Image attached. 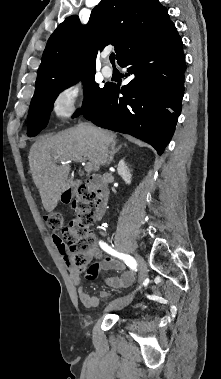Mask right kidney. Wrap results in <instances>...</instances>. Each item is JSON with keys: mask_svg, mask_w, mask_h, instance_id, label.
Returning a JSON list of instances; mask_svg holds the SVG:
<instances>
[{"mask_svg": "<svg viewBox=\"0 0 221 379\" xmlns=\"http://www.w3.org/2000/svg\"><path fill=\"white\" fill-rule=\"evenodd\" d=\"M117 172L122 177V179L125 181L126 184H131L132 175L124 159L119 161L117 165Z\"/></svg>", "mask_w": 221, "mask_h": 379, "instance_id": "1", "label": "right kidney"}]
</instances>
